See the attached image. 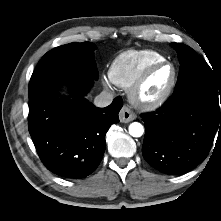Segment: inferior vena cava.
<instances>
[{
    "instance_id": "602c4592",
    "label": "inferior vena cava",
    "mask_w": 221,
    "mask_h": 221,
    "mask_svg": "<svg viewBox=\"0 0 221 221\" xmlns=\"http://www.w3.org/2000/svg\"><path fill=\"white\" fill-rule=\"evenodd\" d=\"M114 97L110 92L102 91L99 95H97L94 99V105L99 108L109 106Z\"/></svg>"
}]
</instances>
